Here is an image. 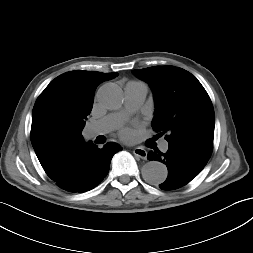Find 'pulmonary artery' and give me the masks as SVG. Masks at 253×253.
Segmentation results:
<instances>
[{
  "label": "pulmonary artery",
  "instance_id": "1",
  "mask_svg": "<svg viewBox=\"0 0 253 253\" xmlns=\"http://www.w3.org/2000/svg\"><path fill=\"white\" fill-rule=\"evenodd\" d=\"M125 104L124 109L117 113H112L104 118L89 124L85 129L87 138H94L103 135L114 129L128 114L140 108L147 94V86L141 82H129L124 89ZM169 143L164 140L160 144L163 152L168 150Z\"/></svg>",
  "mask_w": 253,
  "mask_h": 253
}]
</instances>
